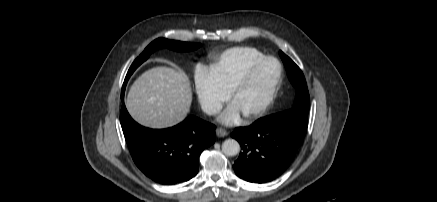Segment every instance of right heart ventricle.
Masks as SVG:
<instances>
[{"label":"right heart ventricle","mask_w":437,"mask_h":202,"mask_svg":"<svg viewBox=\"0 0 437 202\" xmlns=\"http://www.w3.org/2000/svg\"><path fill=\"white\" fill-rule=\"evenodd\" d=\"M265 55L254 47L240 46L224 51L213 63L211 70L229 91L246 69Z\"/></svg>","instance_id":"1"}]
</instances>
